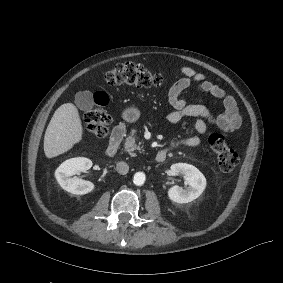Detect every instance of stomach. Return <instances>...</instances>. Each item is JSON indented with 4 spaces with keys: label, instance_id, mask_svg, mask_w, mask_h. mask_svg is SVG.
<instances>
[{
    "label": "stomach",
    "instance_id": "stomach-1",
    "mask_svg": "<svg viewBox=\"0 0 283 283\" xmlns=\"http://www.w3.org/2000/svg\"><path fill=\"white\" fill-rule=\"evenodd\" d=\"M121 117L127 123L133 124L140 119L141 111L137 107H128L123 110Z\"/></svg>",
    "mask_w": 283,
    "mask_h": 283
}]
</instances>
